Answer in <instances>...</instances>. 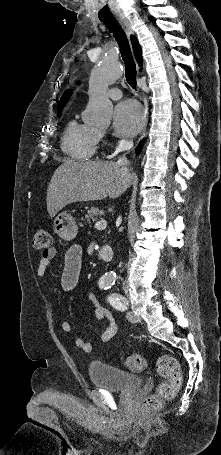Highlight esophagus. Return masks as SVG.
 I'll use <instances>...</instances> for the list:
<instances>
[{"mask_svg": "<svg viewBox=\"0 0 221 455\" xmlns=\"http://www.w3.org/2000/svg\"><path fill=\"white\" fill-rule=\"evenodd\" d=\"M116 19L117 21L119 22V24L121 25V27L124 29V31L126 32L127 35H131L133 34V29L130 25V22L129 20L124 16V15H117L116 16ZM143 102H144V106H145V113H146V119H145V127L143 129V132H142V135H141V139L144 137L145 135V131H146V125H147V122H148V103L146 101V98L143 97Z\"/></svg>", "mask_w": 221, "mask_h": 455, "instance_id": "obj_1", "label": "esophagus"}]
</instances>
